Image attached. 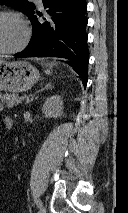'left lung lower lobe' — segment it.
Segmentation results:
<instances>
[{"label": "left lung lower lobe", "instance_id": "0a47b994", "mask_svg": "<svg viewBox=\"0 0 128 213\" xmlns=\"http://www.w3.org/2000/svg\"><path fill=\"white\" fill-rule=\"evenodd\" d=\"M47 8L43 16L35 9L29 16L32 22V39L29 45L15 57H60L80 74L83 85L88 80V59L85 0H42ZM36 8V7H35ZM36 14L44 18L40 22Z\"/></svg>", "mask_w": 128, "mask_h": 213}]
</instances>
